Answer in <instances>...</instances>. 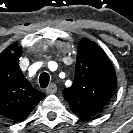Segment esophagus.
Segmentation results:
<instances>
[{"mask_svg": "<svg viewBox=\"0 0 133 133\" xmlns=\"http://www.w3.org/2000/svg\"><path fill=\"white\" fill-rule=\"evenodd\" d=\"M57 91V86L55 84H50L47 88H46V92L48 94H53Z\"/></svg>", "mask_w": 133, "mask_h": 133, "instance_id": "34e87169", "label": "esophagus"}]
</instances>
